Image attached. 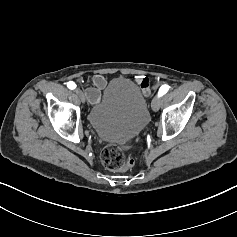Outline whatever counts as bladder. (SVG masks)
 <instances>
[{"instance_id": "obj_1", "label": "bladder", "mask_w": 237, "mask_h": 237, "mask_svg": "<svg viewBox=\"0 0 237 237\" xmlns=\"http://www.w3.org/2000/svg\"><path fill=\"white\" fill-rule=\"evenodd\" d=\"M88 121L102 140L125 143L149 121L146 98L132 80L115 78L105 89L102 100L92 106Z\"/></svg>"}]
</instances>
